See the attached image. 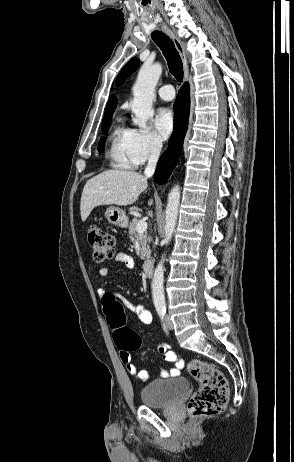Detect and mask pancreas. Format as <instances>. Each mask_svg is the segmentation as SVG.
Wrapping results in <instances>:
<instances>
[{"mask_svg":"<svg viewBox=\"0 0 294 462\" xmlns=\"http://www.w3.org/2000/svg\"><path fill=\"white\" fill-rule=\"evenodd\" d=\"M139 220L137 218H134L128 227L129 231V237L132 241L138 240L139 241V246H140V256L141 259H149L151 256V250L149 243L151 241L150 237L146 233H138L136 230V226L138 224Z\"/></svg>","mask_w":294,"mask_h":462,"instance_id":"1","label":"pancreas"}]
</instances>
